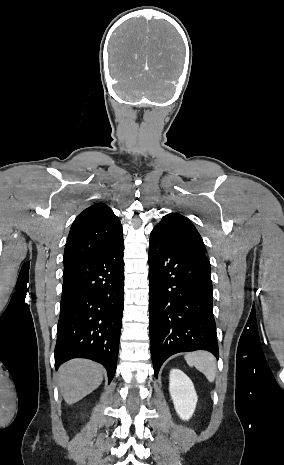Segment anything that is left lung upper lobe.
I'll list each match as a JSON object with an SVG mask.
<instances>
[{
	"label": "left lung upper lobe",
	"mask_w": 284,
	"mask_h": 465,
	"mask_svg": "<svg viewBox=\"0 0 284 465\" xmlns=\"http://www.w3.org/2000/svg\"><path fill=\"white\" fill-rule=\"evenodd\" d=\"M153 233L160 234L173 243L206 253L203 240L192 222L178 213H170L155 226Z\"/></svg>",
	"instance_id": "left-lung-upper-lobe-1"
}]
</instances>
